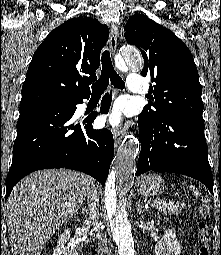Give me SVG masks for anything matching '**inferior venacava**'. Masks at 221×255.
<instances>
[{
	"mask_svg": "<svg viewBox=\"0 0 221 255\" xmlns=\"http://www.w3.org/2000/svg\"><path fill=\"white\" fill-rule=\"evenodd\" d=\"M87 201H88V208H89V218L86 220L87 224H92L93 226L98 225V203H99V196L98 191L95 187H92L87 194ZM97 239L99 240L98 247H99V254L98 255H109V249L107 247V242L105 240V236L100 233V231L96 235Z\"/></svg>",
	"mask_w": 221,
	"mask_h": 255,
	"instance_id": "602c4592",
	"label": "inferior vena cava"
}]
</instances>
